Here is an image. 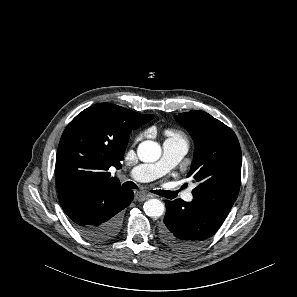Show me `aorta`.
I'll list each match as a JSON object with an SVG mask.
<instances>
[{"instance_id": "aorta-1", "label": "aorta", "mask_w": 297, "mask_h": 297, "mask_svg": "<svg viewBox=\"0 0 297 297\" xmlns=\"http://www.w3.org/2000/svg\"><path fill=\"white\" fill-rule=\"evenodd\" d=\"M137 154L143 162H155L161 156V147L157 142L146 140L139 144ZM143 209L149 217L157 218L163 215L165 206L159 199H150L144 203Z\"/></svg>"}]
</instances>
